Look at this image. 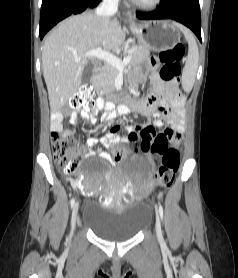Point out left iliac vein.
Here are the masks:
<instances>
[{
	"label": "left iliac vein",
	"instance_id": "4c4485c4",
	"mask_svg": "<svg viewBox=\"0 0 238 278\" xmlns=\"http://www.w3.org/2000/svg\"><path fill=\"white\" fill-rule=\"evenodd\" d=\"M155 231H156L157 237L160 238L162 235V232H161V222H160L159 215H157V217H156Z\"/></svg>",
	"mask_w": 238,
	"mask_h": 278
}]
</instances>
